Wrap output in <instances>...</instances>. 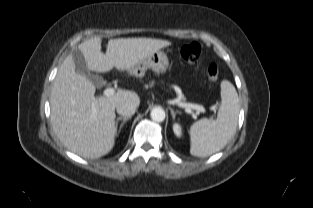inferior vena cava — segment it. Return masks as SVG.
Returning a JSON list of instances; mask_svg holds the SVG:
<instances>
[{
    "mask_svg": "<svg viewBox=\"0 0 313 208\" xmlns=\"http://www.w3.org/2000/svg\"><path fill=\"white\" fill-rule=\"evenodd\" d=\"M136 108L137 107L130 102L119 103L116 106L117 113L125 117H131L135 113Z\"/></svg>",
    "mask_w": 313,
    "mask_h": 208,
    "instance_id": "obj_1",
    "label": "inferior vena cava"
}]
</instances>
